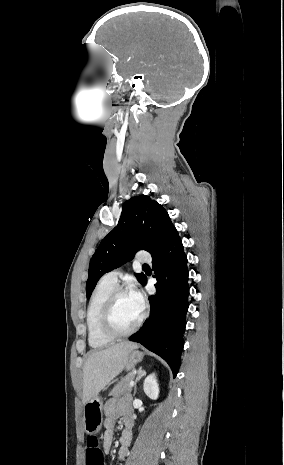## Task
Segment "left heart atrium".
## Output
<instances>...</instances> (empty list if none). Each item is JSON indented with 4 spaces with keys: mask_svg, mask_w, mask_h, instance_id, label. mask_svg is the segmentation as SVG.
Segmentation results:
<instances>
[{
    "mask_svg": "<svg viewBox=\"0 0 284 465\" xmlns=\"http://www.w3.org/2000/svg\"><path fill=\"white\" fill-rule=\"evenodd\" d=\"M130 297L134 301V303L139 307L141 310H143L144 307V296L142 292L138 288H133L130 292Z\"/></svg>",
    "mask_w": 284,
    "mask_h": 465,
    "instance_id": "39dd6f15",
    "label": "left heart atrium"
}]
</instances>
